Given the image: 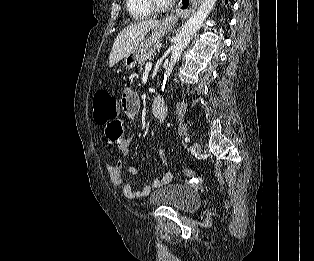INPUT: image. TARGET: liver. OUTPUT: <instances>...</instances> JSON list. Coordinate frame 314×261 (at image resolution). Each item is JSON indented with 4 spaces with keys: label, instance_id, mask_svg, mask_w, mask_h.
Returning <instances> with one entry per match:
<instances>
[{
    "label": "liver",
    "instance_id": "1",
    "mask_svg": "<svg viewBox=\"0 0 314 261\" xmlns=\"http://www.w3.org/2000/svg\"><path fill=\"white\" fill-rule=\"evenodd\" d=\"M160 25L158 20H144L128 25L117 35L109 57V67H113L131 53L150 30Z\"/></svg>",
    "mask_w": 314,
    "mask_h": 261
}]
</instances>
